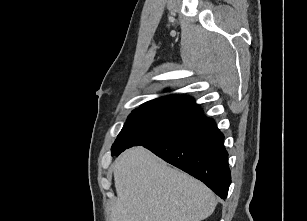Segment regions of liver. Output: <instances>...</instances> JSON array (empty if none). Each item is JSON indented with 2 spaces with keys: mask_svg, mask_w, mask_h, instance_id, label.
Returning a JSON list of instances; mask_svg holds the SVG:
<instances>
[{
  "mask_svg": "<svg viewBox=\"0 0 307 221\" xmlns=\"http://www.w3.org/2000/svg\"><path fill=\"white\" fill-rule=\"evenodd\" d=\"M113 173L117 200L111 221H202L217 205L202 182L167 166L143 147L121 154Z\"/></svg>",
  "mask_w": 307,
  "mask_h": 221,
  "instance_id": "liver-1",
  "label": "liver"
}]
</instances>
